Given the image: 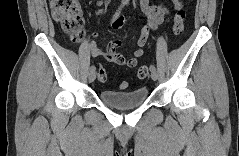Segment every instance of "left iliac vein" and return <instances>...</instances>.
I'll return each instance as SVG.
<instances>
[{
  "instance_id": "4c4485c4",
  "label": "left iliac vein",
  "mask_w": 239,
  "mask_h": 156,
  "mask_svg": "<svg viewBox=\"0 0 239 156\" xmlns=\"http://www.w3.org/2000/svg\"><path fill=\"white\" fill-rule=\"evenodd\" d=\"M151 71V78L155 81L158 79V74L156 70H150Z\"/></svg>"
}]
</instances>
